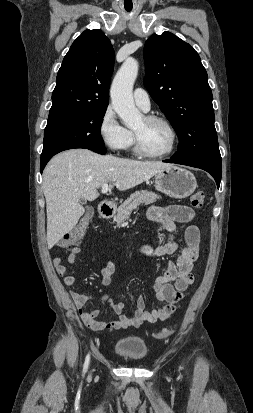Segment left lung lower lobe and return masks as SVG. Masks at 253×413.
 <instances>
[{"mask_svg":"<svg viewBox=\"0 0 253 413\" xmlns=\"http://www.w3.org/2000/svg\"><path fill=\"white\" fill-rule=\"evenodd\" d=\"M164 162L183 164V165L203 169L209 172L213 176V178L215 179L217 183V187L219 188L220 186L221 174H222L221 160L212 159V158L177 159V158L172 157L171 159L164 160Z\"/></svg>","mask_w":253,"mask_h":413,"instance_id":"0a47b994","label":"left lung lower lobe"}]
</instances>
